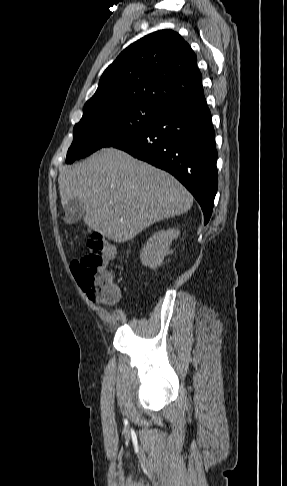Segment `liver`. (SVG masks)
Listing matches in <instances>:
<instances>
[{"label":"liver","mask_w":287,"mask_h":486,"mask_svg":"<svg viewBox=\"0 0 287 486\" xmlns=\"http://www.w3.org/2000/svg\"><path fill=\"white\" fill-rule=\"evenodd\" d=\"M62 206L78 198L84 223L124 243L150 225L188 212L192 195L169 173L114 148H104L58 177Z\"/></svg>","instance_id":"1"}]
</instances>
